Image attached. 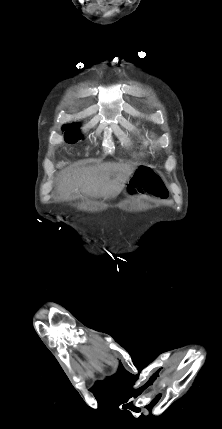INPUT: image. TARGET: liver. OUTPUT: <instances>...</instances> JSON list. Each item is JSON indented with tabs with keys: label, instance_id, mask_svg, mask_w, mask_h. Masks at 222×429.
I'll return each instance as SVG.
<instances>
[{
	"label": "liver",
	"instance_id": "1",
	"mask_svg": "<svg viewBox=\"0 0 222 429\" xmlns=\"http://www.w3.org/2000/svg\"><path fill=\"white\" fill-rule=\"evenodd\" d=\"M127 163L106 162L95 166L67 168L58 176L57 191L67 200L74 193L85 196L115 198L135 171Z\"/></svg>",
	"mask_w": 222,
	"mask_h": 429
}]
</instances>
